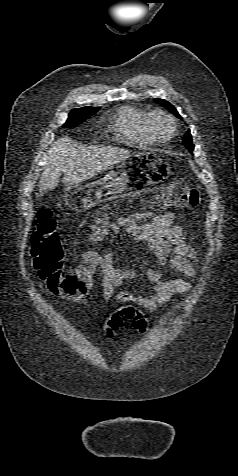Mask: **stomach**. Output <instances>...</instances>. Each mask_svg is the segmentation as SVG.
<instances>
[{"label": "stomach", "instance_id": "obj_1", "mask_svg": "<svg viewBox=\"0 0 238 476\" xmlns=\"http://www.w3.org/2000/svg\"><path fill=\"white\" fill-rule=\"evenodd\" d=\"M129 155L111 168L86 182L65 190L64 201L72 210H86L98 203L122 195H143L144 190H156L170 173L164 156Z\"/></svg>", "mask_w": 238, "mask_h": 476}]
</instances>
